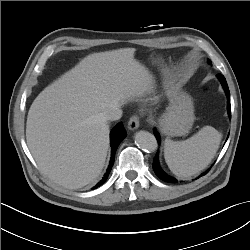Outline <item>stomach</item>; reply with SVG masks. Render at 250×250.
I'll return each mask as SVG.
<instances>
[{"mask_svg":"<svg viewBox=\"0 0 250 250\" xmlns=\"http://www.w3.org/2000/svg\"><path fill=\"white\" fill-rule=\"evenodd\" d=\"M153 63H159V58L153 57ZM164 72L170 105L160 117L159 127L167 136H184L190 131L195 120L193 101L190 95L182 90L181 85L171 78L168 71Z\"/></svg>","mask_w":250,"mask_h":250,"instance_id":"obj_1","label":"stomach"}]
</instances>
